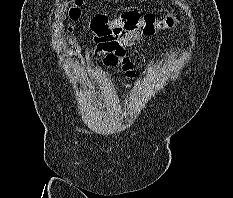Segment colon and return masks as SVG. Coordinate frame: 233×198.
<instances>
[{
    "mask_svg": "<svg viewBox=\"0 0 233 198\" xmlns=\"http://www.w3.org/2000/svg\"><path fill=\"white\" fill-rule=\"evenodd\" d=\"M82 0H74L69 10V17L75 21L80 17V5ZM178 19L172 16L162 20L157 19L153 14H142L137 10L123 12L118 18L109 20L106 16H96L92 19L90 29L94 42L112 36L115 32L137 31L143 35H153L158 30L175 27Z\"/></svg>",
    "mask_w": 233,
    "mask_h": 198,
    "instance_id": "colon-1",
    "label": "colon"
}]
</instances>
